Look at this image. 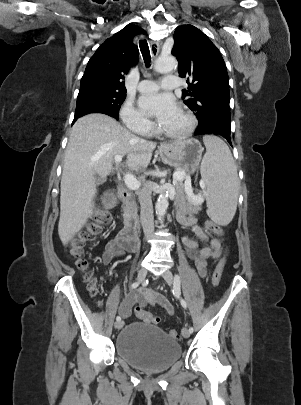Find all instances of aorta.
<instances>
[{
  "instance_id": "1",
  "label": "aorta",
  "mask_w": 301,
  "mask_h": 405,
  "mask_svg": "<svg viewBox=\"0 0 301 405\" xmlns=\"http://www.w3.org/2000/svg\"><path fill=\"white\" fill-rule=\"evenodd\" d=\"M154 68L159 73H169L172 72L176 68V60L174 57H160L154 65ZM168 194L161 193L157 199L155 204L156 214L159 220H162L166 214L169 201H168Z\"/></svg>"
}]
</instances>
